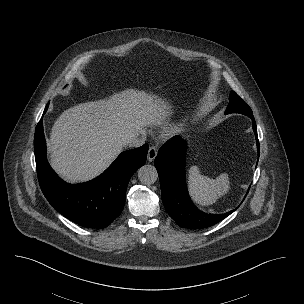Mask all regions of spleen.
<instances>
[{
    "instance_id": "3e777b00",
    "label": "spleen",
    "mask_w": 304,
    "mask_h": 304,
    "mask_svg": "<svg viewBox=\"0 0 304 304\" xmlns=\"http://www.w3.org/2000/svg\"><path fill=\"white\" fill-rule=\"evenodd\" d=\"M188 188L194 202L201 206L211 205L229 191V177L223 173L216 179H210L201 175L197 166H193L188 171Z\"/></svg>"
}]
</instances>
